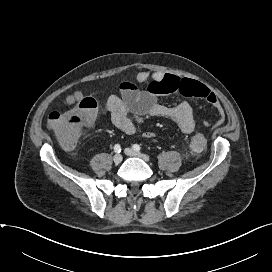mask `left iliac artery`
<instances>
[{
    "label": "left iliac artery",
    "instance_id": "1",
    "mask_svg": "<svg viewBox=\"0 0 272 272\" xmlns=\"http://www.w3.org/2000/svg\"><path fill=\"white\" fill-rule=\"evenodd\" d=\"M132 147H133V149L135 151H140L141 150V147L138 144H134Z\"/></svg>",
    "mask_w": 272,
    "mask_h": 272
}]
</instances>
